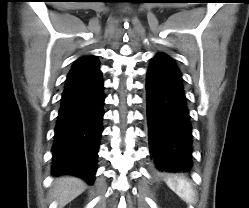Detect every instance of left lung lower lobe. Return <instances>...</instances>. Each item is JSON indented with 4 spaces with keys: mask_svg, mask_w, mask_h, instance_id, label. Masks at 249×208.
<instances>
[{
    "mask_svg": "<svg viewBox=\"0 0 249 208\" xmlns=\"http://www.w3.org/2000/svg\"><path fill=\"white\" fill-rule=\"evenodd\" d=\"M147 126L151 158L158 172H189L192 130L182 76L176 63L156 55L146 80Z\"/></svg>",
    "mask_w": 249,
    "mask_h": 208,
    "instance_id": "obj_1",
    "label": "left lung lower lobe"
}]
</instances>
